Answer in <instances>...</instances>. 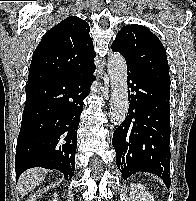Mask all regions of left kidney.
Instances as JSON below:
<instances>
[{
    "label": "left kidney",
    "instance_id": "obj_1",
    "mask_svg": "<svg viewBox=\"0 0 196 201\" xmlns=\"http://www.w3.org/2000/svg\"><path fill=\"white\" fill-rule=\"evenodd\" d=\"M130 201H155L148 190L139 183L130 184Z\"/></svg>",
    "mask_w": 196,
    "mask_h": 201
}]
</instances>
